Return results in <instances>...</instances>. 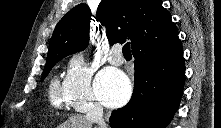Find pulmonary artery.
<instances>
[{
    "instance_id": "pulmonary-artery-1",
    "label": "pulmonary artery",
    "mask_w": 221,
    "mask_h": 128,
    "mask_svg": "<svg viewBox=\"0 0 221 128\" xmlns=\"http://www.w3.org/2000/svg\"><path fill=\"white\" fill-rule=\"evenodd\" d=\"M108 62L114 66H120L124 62V58L121 55V46L114 45L109 54H108Z\"/></svg>"
}]
</instances>
